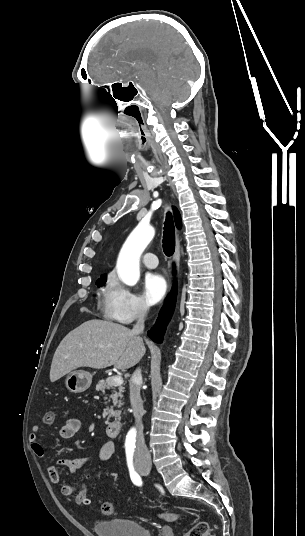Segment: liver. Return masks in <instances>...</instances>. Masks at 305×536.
Instances as JSON below:
<instances>
[{
  "instance_id": "1",
  "label": "liver",
  "mask_w": 305,
  "mask_h": 536,
  "mask_svg": "<svg viewBox=\"0 0 305 536\" xmlns=\"http://www.w3.org/2000/svg\"><path fill=\"white\" fill-rule=\"evenodd\" d=\"M146 350L142 338H136L121 324L89 320L65 336L52 360L50 382L60 380L77 368L128 370L140 362Z\"/></svg>"
}]
</instances>
